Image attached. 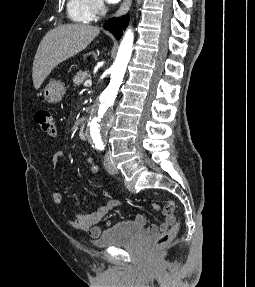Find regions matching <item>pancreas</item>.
Masks as SVG:
<instances>
[{
	"label": "pancreas",
	"instance_id": "obj_1",
	"mask_svg": "<svg viewBox=\"0 0 255 287\" xmlns=\"http://www.w3.org/2000/svg\"><path fill=\"white\" fill-rule=\"evenodd\" d=\"M91 74L89 70H84V72H77V76H74L73 82L75 86H80V84H84L85 80H90Z\"/></svg>",
	"mask_w": 255,
	"mask_h": 287
}]
</instances>
